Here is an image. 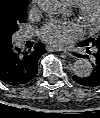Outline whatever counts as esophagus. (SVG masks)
I'll return each instance as SVG.
<instances>
[{
  "label": "esophagus",
  "mask_w": 100,
  "mask_h": 118,
  "mask_svg": "<svg viewBox=\"0 0 100 118\" xmlns=\"http://www.w3.org/2000/svg\"><path fill=\"white\" fill-rule=\"evenodd\" d=\"M46 49H47L48 51H62L63 53L70 55V53H68L67 51L54 48V47H52V46H50V45H47V46H46Z\"/></svg>",
  "instance_id": "1"
}]
</instances>
